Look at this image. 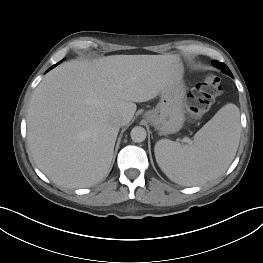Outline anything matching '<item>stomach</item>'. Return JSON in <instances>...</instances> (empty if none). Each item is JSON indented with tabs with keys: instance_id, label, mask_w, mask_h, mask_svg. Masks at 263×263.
<instances>
[{
	"instance_id": "obj_1",
	"label": "stomach",
	"mask_w": 263,
	"mask_h": 263,
	"mask_svg": "<svg viewBox=\"0 0 263 263\" xmlns=\"http://www.w3.org/2000/svg\"><path fill=\"white\" fill-rule=\"evenodd\" d=\"M186 87L182 80L170 84L162 93L157 106L144 113V118L161 134L178 132L185 121L184 97Z\"/></svg>"
}]
</instances>
